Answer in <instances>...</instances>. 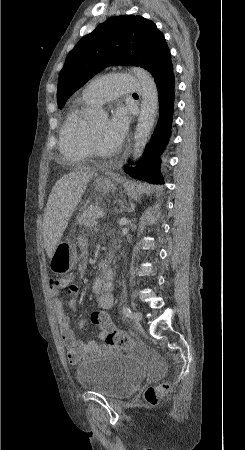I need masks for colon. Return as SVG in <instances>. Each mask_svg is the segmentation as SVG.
<instances>
[{
    "label": "colon",
    "instance_id": "5ec220e1",
    "mask_svg": "<svg viewBox=\"0 0 245 450\" xmlns=\"http://www.w3.org/2000/svg\"><path fill=\"white\" fill-rule=\"evenodd\" d=\"M63 281V278H56L55 283ZM91 321L94 325L100 327L104 333V341L107 344L115 345L120 348H131L133 341L124 331L117 329L107 314L103 311H95L91 316ZM86 321L81 322L85 325ZM169 390L168 383H161L158 386H149L145 389L144 397L150 404H156L160 397Z\"/></svg>",
    "mask_w": 245,
    "mask_h": 450
}]
</instances>
